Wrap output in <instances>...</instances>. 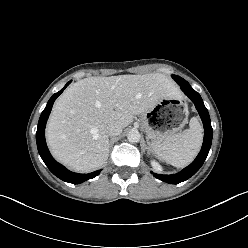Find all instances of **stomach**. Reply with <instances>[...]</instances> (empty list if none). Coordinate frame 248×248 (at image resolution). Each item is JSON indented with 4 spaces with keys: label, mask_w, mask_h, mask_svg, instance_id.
<instances>
[{
    "label": "stomach",
    "mask_w": 248,
    "mask_h": 248,
    "mask_svg": "<svg viewBox=\"0 0 248 248\" xmlns=\"http://www.w3.org/2000/svg\"><path fill=\"white\" fill-rule=\"evenodd\" d=\"M188 108L179 95L166 96L156 106L142 115V123L147 139L151 140L150 147L156 142L167 140L180 130L187 122Z\"/></svg>",
    "instance_id": "0dacf381"
}]
</instances>
